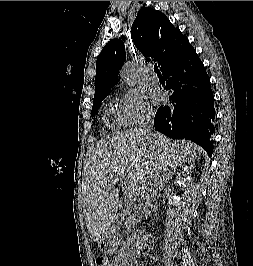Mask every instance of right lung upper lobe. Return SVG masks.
Masks as SVG:
<instances>
[{
  "label": "right lung upper lobe",
  "instance_id": "obj_1",
  "mask_svg": "<svg viewBox=\"0 0 253 266\" xmlns=\"http://www.w3.org/2000/svg\"><path fill=\"white\" fill-rule=\"evenodd\" d=\"M131 38L145 57L150 56L158 62L161 71L193 48L187 37L170 23L166 15L148 7L139 10L132 24ZM125 59V47L121 40L112 39L104 46L96 62L94 99L108 94L118 83V73Z\"/></svg>",
  "mask_w": 253,
  "mask_h": 266
}]
</instances>
